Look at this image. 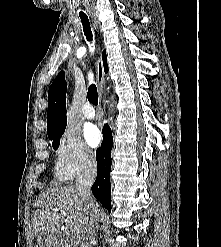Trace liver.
Returning <instances> with one entry per match:
<instances>
[{"mask_svg":"<svg viewBox=\"0 0 221 247\" xmlns=\"http://www.w3.org/2000/svg\"><path fill=\"white\" fill-rule=\"evenodd\" d=\"M35 205L38 209L32 217V236L57 231L62 224L77 239L83 234L87 212L75 186L45 190L39 195ZM96 207L99 214L98 204Z\"/></svg>","mask_w":221,"mask_h":247,"instance_id":"6515ba94","label":"liver"}]
</instances>
